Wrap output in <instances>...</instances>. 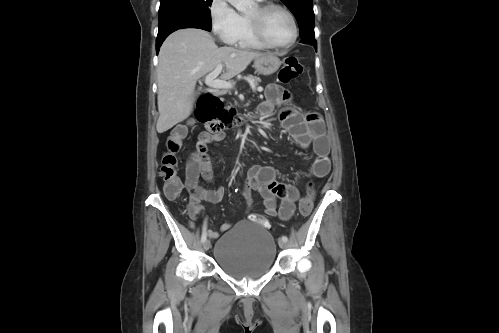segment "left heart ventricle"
<instances>
[{"label": "left heart ventricle", "mask_w": 499, "mask_h": 333, "mask_svg": "<svg viewBox=\"0 0 499 333\" xmlns=\"http://www.w3.org/2000/svg\"><path fill=\"white\" fill-rule=\"evenodd\" d=\"M256 6L248 13L256 14ZM263 29L267 38L275 44H284L291 39L292 24L289 17L279 9L270 10L263 17Z\"/></svg>", "instance_id": "left-heart-ventricle-1"}]
</instances>
